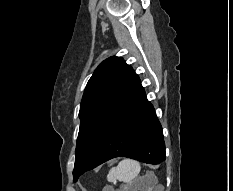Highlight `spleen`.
Segmentation results:
<instances>
[{
  "label": "spleen",
  "mask_w": 233,
  "mask_h": 191,
  "mask_svg": "<svg viewBox=\"0 0 233 191\" xmlns=\"http://www.w3.org/2000/svg\"><path fill=\"white\" fill-rule=\"evenodd\" d=\"M140 164L131 159H124L118 163L117 166L112 167L107 175L109 182H115L116 180L130 183L134 180L140 172ZM150 176H154L151 174Z\"/></svg>",
  "instance_id": "1"
}]
</instances>
